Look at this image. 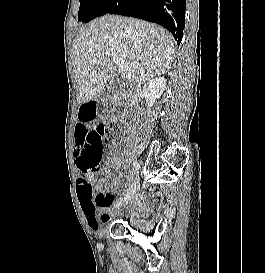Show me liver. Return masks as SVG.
Returning a JSON list of instances; mask_svg holds the SVG:
<instances>
[{
    "mask_svg": "<svg viewBox=\"0 0 265 273\" xmlns=\"http://www.w3.org/2000/svg\"><path fill=\"white\" fill-rule=\"evenodd\" d=\"M175 40L162 27L134 18L106 15L93 20L72 45L79 82L78 103L96 98L114 79L112 57L123 58L127 83L166 73L175 58Z\"/></svg>",
    "mask_w": 265,
    "mask_h": 273,
    "instance_id": "liver-1",
    "label": "liver"
}]
</instances>
